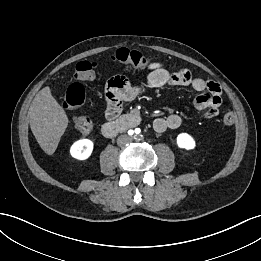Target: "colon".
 Wrapping results in <instances>:
<instances>
[{
    "mask_svg": "<svg viewBox=\"0 0 261 261\" xmlns=\"http://www.w3.org/2000/svg\"><path fill=\"white\" fill-rule=\"evenodd\" d=\"M157 57L146 56L138 51L119 49L112 55V60L128 67L144 68L153 63ZM97 64L93 61H81L76 64L75 78L78 81L93 79ZM85 101V89L79 82L73 83L67 89L64 105L69 109L80 108ZM223 123L230 126L234 123L235 117L230 110H225L222 117ZM92 121L85 115L75 117V127L82 134H88L92 130Z\"/></svg>",
    "mask_w": 261,
    "mask_h": 261,
    "instance_id": "colon-1",
    "label": "colon"
}]
</instances>
